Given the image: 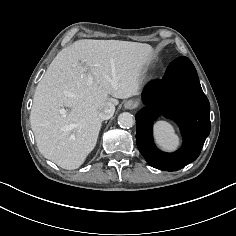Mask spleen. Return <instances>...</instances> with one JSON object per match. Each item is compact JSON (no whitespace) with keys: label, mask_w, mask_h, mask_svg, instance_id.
Here are the masks:
<instances>
[{"label":"spleen","mask_w":236,"mask_h":236,"mask_svg":"<svg viewBox=\"0 0 236 236\" xmlns=\"http://www.w3.org/2000/svg\"><path fill=\"white\" fill-rule=\"evenodd\" d=\"M156 143L164 150H175L179 145V137L175 133L172 124L166 121H158L154 126Z\"/></svg>","instance_id":"1"}]
</instances>
